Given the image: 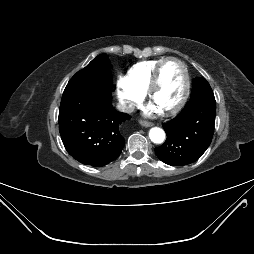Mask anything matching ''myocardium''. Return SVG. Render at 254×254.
Segmentation results:
<instances>
[{
	"label": "myocardium",
	"mask_w": 254,
	"mask_h": 254,
	"mask_svg": "<svg viewBox=\"0 0 254 254\" xmlns=\"http://www.w3.org/2000/svg\"><path fill=\"white\" fill-rule=\"evenodd\" d=\"M169 61H175L181 66L182 71H183L184 83H183V91H182L181 97L179 98L178 102L171 108L162 111L163 114L167 115V116L173 115L183 108V106L185 105V103L188 99L189 92H190V75H189L187 65L181 59L171 56V57L164 58L156 66L153 76H152V79H151V82H150L149 87L146 91V96H147L148 100L149 101L152 100V97H153V95H154L155 91L157 90L159 83H160V76H161L162 68Z\"/></svg>",
	"instance_id": "1"
}]
</instances>
